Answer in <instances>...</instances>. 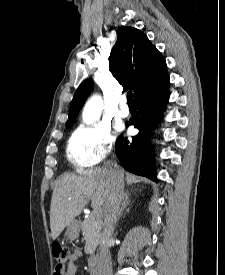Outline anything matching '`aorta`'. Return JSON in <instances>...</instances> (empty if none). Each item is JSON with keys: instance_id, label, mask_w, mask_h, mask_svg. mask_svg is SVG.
I'll return each mask as SVG.
<instances>
[{"instance_id": "aorta-1", "label": "aorta", "mask_w": 225, "mask_h": 275, "mask_svg": "<svg viewBox=\"0 0 225 275\" xmlns=\"http://www.w3.org/2000/svg\"><path fill=\"white\" fill-rule=\"evenodd\" d=\"M103 109V100L99 95L91 97L86 103L82 119L86 124H91L99 119L101 111Z\"/></svg>"}]
</instances>
